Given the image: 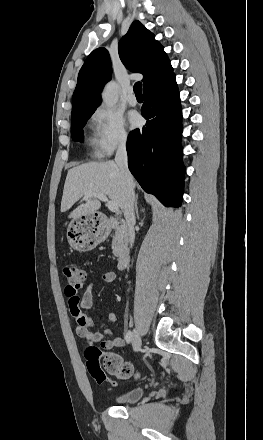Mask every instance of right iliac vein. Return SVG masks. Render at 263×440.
Returning a JSON list of instances; mask_svg holds the SVG:
<instances>
[{"instance_id":"1","label":"right iliac vein","mask_w":263,"mask_h":440,"mask_svg":"<svg viewBox=\"0 0 263 440\" xmlns=\"http://www.w3.org/2000/svg\"><path fill=\"white\" fill-rule=\"evenodd\" d=\"M132 347L135 352H138L141 348V337L137 329H134L132 333Z\"/></svg>"}]
</instances>
